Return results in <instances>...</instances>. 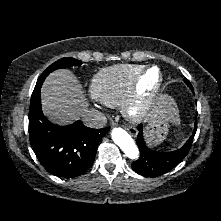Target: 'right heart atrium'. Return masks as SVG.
I'll return each instance as SVG.
<instances>
[{
  "label": "right heart atrium",
  "mask_w": 221,
  "mask_h": 221,
  "mask_svg": "<svg viewBox=\"0 0 221 221\" xmlns=\"http://www.w3.org/2000/svg\"><path fill=\"white\" fill-rule=\"evenodd\" d=\"M95 107L98 109H102V106H100V105H95Z\"/></svg>",
  "instance_id": "right-heart-atrium-1"
}]
</instances>
